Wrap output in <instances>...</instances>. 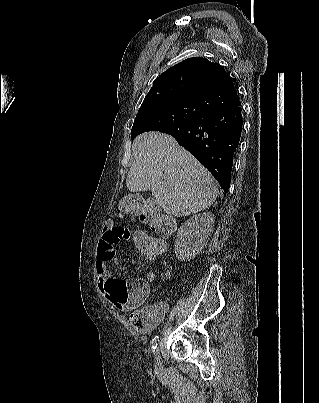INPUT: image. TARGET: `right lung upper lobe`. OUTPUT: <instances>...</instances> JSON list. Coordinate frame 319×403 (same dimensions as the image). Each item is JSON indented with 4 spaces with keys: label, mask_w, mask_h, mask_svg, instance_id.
<instances>
[{
    "label": "right lung upper lobe",
    "mask_w": 319,
    "mask_h": 403,
    "mask_svg": "<svg viewBox=\"0 0 319 403\" xmlns=\"http://www.w3.org/2000/svg\"><path fill=\"white\" fill-rule=\"evenodd\" d=\"M160 103H191L209 112L240 105L226 71L199 57L188 58L157 77L139 110Z\"/></svg>",
    "instance_id": "obj_1"
}]
</instances>
